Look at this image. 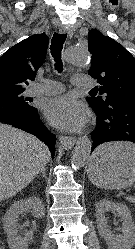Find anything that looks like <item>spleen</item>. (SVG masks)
Masks as SVG:
<instances>
[{
  "mask_svg": "<svg viewBox=\"0 0 135 249\" xmlns=\"http://www.w3.org/2000/svg\"><path fill=\"white\" fill-rule=\"evenodd\" d=\"M116 148L117 149H122L125 151H131L132 149H134L133 144L128 143V142H117L116 143Z\"/></svg>",
  "mask_w": 135,
  "mask_h": 249,
  "instance_id": "spleen-1",
  "label": "spleen"
}]
</instances>
